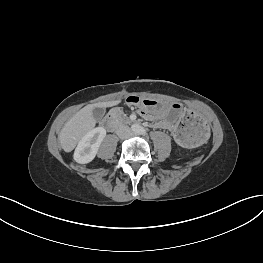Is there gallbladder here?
<instances>
[{
  "mask_svg": "<svg viewBox=\"0 0 263 263\" xmlns=\"http://www.w3.org/2000/svg\"><path fill=\"white\" fill-rule=\"evenodd\" d=\"M105 114V110L102 107H96L93 110V116L97 121H100Z\"/></svg>",
  "mask_w": 263,
  "mask_h": 263,
  "instance_id": "1",
  "label": "gallbladder"
}]
</instances>
